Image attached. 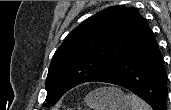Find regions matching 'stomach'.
<instances>
[{"label": "stomach", "mask_w": 171, "mask_h": 110, "mask_svg": "<svg viewBox=\"0 0 171 110\" xmlns=\"http://www.w3.org/2000/svg\"><path fill=\"white\" fill-rule=\"evenodd\" d=\"M85 103L92 110H130V102L117 87H104L90 92Z\"/></svg>", "instance_id": "1"}]
</instances>
